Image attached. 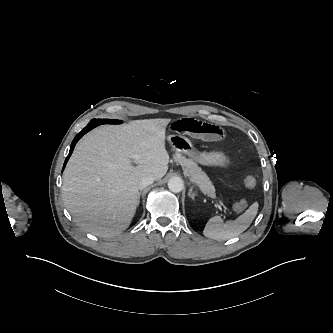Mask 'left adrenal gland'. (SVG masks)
<instances>
[{"instance_id":"1","label":"left adrenal gland","mask_w":333,"mask_h":333,"mask_svg":"<svg viewBox=\"0 0 333 333\" xmlns=\"http://www.w3.org/2000/svg\"><path fill=\"white\" fill-rule=\"evenodd\" d=\"M192 189H193V187H190L189 192H188V196L191 197L192 199H195L196 193H193Z\"/></svg>"}]
</instances>
